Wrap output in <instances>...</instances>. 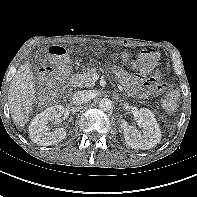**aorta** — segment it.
Masks as SVG:
<instances>
[{
    "mask_svg": "<svg viewBox=\"0 0 197 197\" xmlns=\"http://www.w3.org/2000/svg\"><path fill=\"white\" fill-rule=\"evenodd\" d=\"M98 105L102 111H109L112 108V101L108 98H102Z\"/></svg>",
    "mask_w": 197,
    "mask_h": 197,
    "instance_id": "1",
    "label": "aorta"
}]
</instances>
